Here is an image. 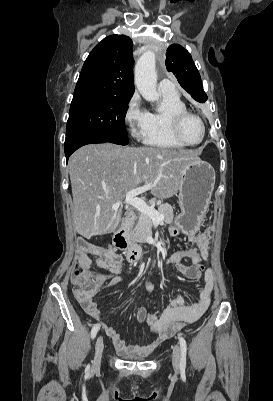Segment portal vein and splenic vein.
<instances>
[{
    "mask_svg": "<svg viewBox=\"0 0 273 401\" xmlns=\"http://www.w3.org/2000/svg\"><path fill=\"white\" fill-rule=\"evenodd\" d=\"M153 184H144V186H139V188H133V190H129L126 194L125 203L126 205H133L136 207L140 213H144V215H148L154 223H160V221H164V215H160L154 207H148L142 198H138L137 194H141V192H145V190H150ZM121 203H115L112 205V209H119Z\"/></svg>",
    "mask_w": 273,
    "mask_h": 401,
    "instance_id": "portal-vein-and-splenic-vein-1",
    "label": "portal vein and splenic vein"
}]
</instances>
